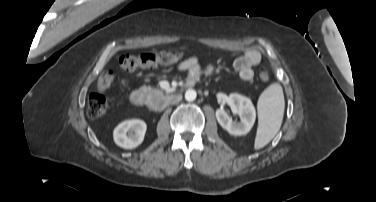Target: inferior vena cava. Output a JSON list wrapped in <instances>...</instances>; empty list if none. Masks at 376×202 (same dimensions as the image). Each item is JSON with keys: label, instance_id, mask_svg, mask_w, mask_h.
<instances>
[{"label": "inferior vena cava", "instance_id": "inferior-vena-cava-1", "mask_svg": "<svg viewBox=\"0 0 376 202\" xmlns=\"http://www.w3.org/2000/svg\"><path fill=\"white\" fill-rule=\"evenodd\" d=\"M181 96L180 95H177L175 96L172 100H171V103L174 104V103H177L181 100Z\"/></svg>", "mask_w": 376, "mask_h": 202}]
</instances>
